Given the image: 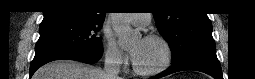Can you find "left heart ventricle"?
Wrapping results in <instances>:
<instances>
[{"instance_id": "1", "label": "left heart ventricle", "mask_w": 255, "mask_h": 79, "mask_svg": "<svg viewBox=\"0 0 255 79\" xmlns=\"http://www.w3.org/2000/svg\"><path fill=\"white\" fill-rule=\"evenodd\" d=\"M133 29H138L137 25H131ZM137 50L134 62L141 69H154L160 65L164 58L162 45L156 41L138 40L132 47V51Z\"/></svg>"}]
</instances>
